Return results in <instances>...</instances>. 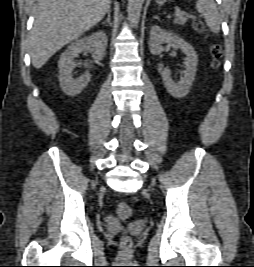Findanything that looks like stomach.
I'll use <instances>...</instances> for the list:
<instances>
[{
    "label": "stomach",
    "mask_w": 254,
    "mask_h": 267,
    "mask_svg": "<svg viewBox=\"0 0 254 267\" xmlns=\"http://www.w3.org/2000/svg\"><path fill=\"white\" fill-rule=\"evenodd\" d=\"M155 2L159 5H163L167 2V0H155Z\"/></svg>",
    "instance_id": "obj_1"
}]
</instances>
